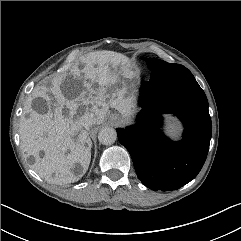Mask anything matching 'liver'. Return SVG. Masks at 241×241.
Returning <instances> with one entry per match:
<instances>
[{
	"mask_svg": "<svg viewBox=\"0 0 241 241\" xmlns=\"http://www.w3.org/2000/svg\"><path fill=\"white\" fill-rule=\"evenodd\" d=\"M119 75L132 76L129 59L113 51H99L90 55L82 70L74 66L67 77L55 78L50 88L40 86L33 91L24 107L19 134L22 151L27 157H34L31 168L42 178L64 185L78 181L88 170L92 141L79 124L83 112L93 113L98 125L105 119L109 107L126 118L133 115L135 105L131 96L125 97L126 88L112 96L108 93ZM80 80L84 90L75 97H68L62 87H71ZM37 98L46 101L47 111L39 113L33 109L32 100ZM65 108L66 114L63 113ZM41 151L44 152L42 158ZM76 164L81 166L77 174L74 172Z\"/></svg>",
	"mask_w": 241,
	"mask_h": 241,
	"instance_id": "obj_1",
	"label": "liver"
}]
</instances>
